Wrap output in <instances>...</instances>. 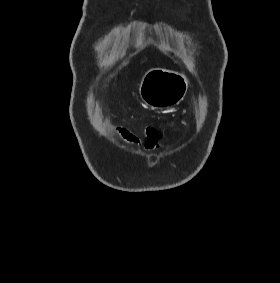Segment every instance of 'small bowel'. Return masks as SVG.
Segmentation results:
<instances>
[{
    "label": "small bowel",
    "instance_id": "small-bowel-1",
    "mask_svg": "<svg viewBox=\"0 0 280 283\" xmlns=\"http://www.w3.org/2000/svg\"><path fill=\"white\" fill-rule=\"evenodd\" d=\"M115 132L127 143L137 148H144L148 151H156L159 148V135L158 131L154 127H149L146 130V138L144 141H142L134 132L125 127H116Z\"/></svg>",
    "mask_w": 280,
    "mask_h": 283
}]
</instances>
